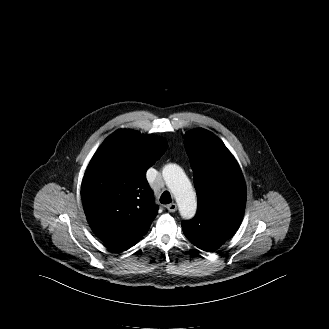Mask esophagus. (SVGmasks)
<instances>
[{
	"label": "esophagus",
	"instance_id": "34e87169",
	"mask_svg": "<svg viewBox=\"0 0 329 329\" xmlns=\"http://www.w3.org/2000/svg\"><path fill=\"white\" fill-rule=\"evenodd\" d=\"M166 208L169 212H175L177 210V205L175 203H171L167 205Z\"/></svg>",
	"mask_w": 329,
	"mask_h": 329
}]
</instances>
